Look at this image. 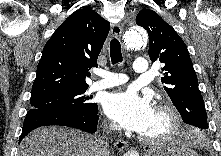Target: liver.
I'll use <instances>...</instances> for the list:
<instances>
[{
  "label": "liver",
  "instance_id": "6515ba94",
  "mask_svg": "<svg viewBox=\"0 0 221 156\" xmlns=\"http://www.w3.org/2000/svg\"><path fill=\"white\" fill-rule=\"evenodd\" d=\"M19 156H103L101 141L95 136L65 127H42L20 143ZM109 152L106 151V156Z\"/></svg>",
  "mask_w": 221,
  "mask_h": 156
}]
</instances>
